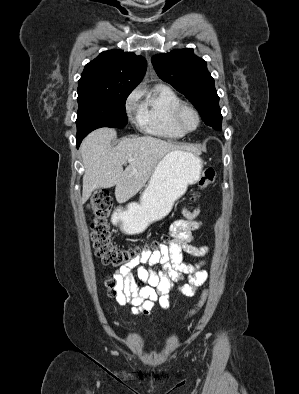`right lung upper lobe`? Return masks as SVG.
<instances>
[{"instance_id":"cb5924a9","label":"right lung upper lobe","mask_w":299,"mask_h":394,"mask_svg":"<svg viewBox=\"0 0 299 394\" xmlns=\"http://www.w3.org/2000/svg\"><path fill=\"white\" fill-rule=\"evenodd\" d=\"M147 62L132 52L104 51L89 62L78 81V90H133L143 79Z\"/></svg>"}]
</instances>
